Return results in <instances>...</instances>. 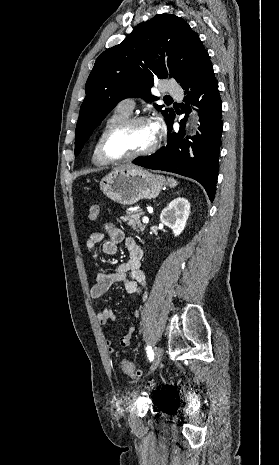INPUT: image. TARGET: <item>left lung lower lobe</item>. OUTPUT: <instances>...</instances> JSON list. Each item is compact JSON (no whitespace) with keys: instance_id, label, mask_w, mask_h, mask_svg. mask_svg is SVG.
Returning a JSON list of instances; mask_svg holds the SVG:
<instances>
[{"instance_id":"obj_1","label":"left lung lower lobe","mask_w":279,"mask_h":465,"mask_svg":"<svg viewBox=\"0 0 279 465\" xmlns=\"http://www.w3.org/2000/svg\"><path fill=\"white\" fill-rule=\"evenodd\" d=\"M187 94L184 101L199 108V133L190 142L184 139L185 118L180 121L177 133L170 134L168 141L156 153L133 161L149 169L177 173L198 181L205 188L209 199L214 200L218 178L219 153L223 130L222 105L218 83L207 52L201 57L193 74L181 84ZM189 113L190 109L185 108Z\"/></svg>"}]
</instances>
